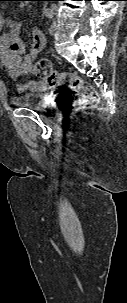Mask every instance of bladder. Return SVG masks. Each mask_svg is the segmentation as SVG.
Wrapping results in <instances>:
<instances>
[{"mask_svg":"<svg viewBox=\"0 0 127 303\" xmlns=\"http://www.w3.org/2000/svg\"><path fill=\"white\" fill-rule=\"evenodd\" d=\"M12 103L20 108L33 109L37 111H44L47 105L42 99L41 94H21L12 98Z\"/></svg>","mask_w":127,"mask_h":303,"instance_id":"bladder-1","label":"bladder"}]
</instances>
